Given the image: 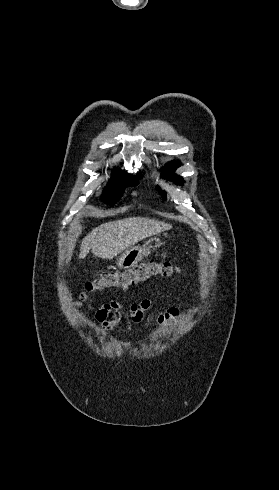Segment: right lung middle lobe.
Returning <instances> with one entry per match:
<instances>
[{"instance_id": "obj_1", "label": "right lung middle lobe", "mask_w": 279, "mask_h": 490, "mask_svg": "<svg viewBox=\"0 0 279 490\" xmlns=\"http://www.w3.org/2000/svg\"><path fill=\"white\" fill-rule=\"evenodd\" d=\"M142 176H118L116 178H112L108 184V186L104 189L103 198L105 201H109L111 203L116 202L121 196L123 192V188L127 185L135 186L138 184V180L141 179Z\"/></svg>"}]
</instances>
